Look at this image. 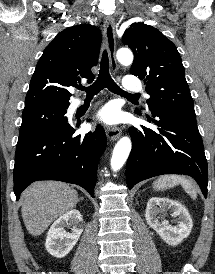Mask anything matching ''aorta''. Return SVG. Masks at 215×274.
Masks as SVG:
<instances>
[{
  "label": "aorta",
  "instance_id": "762f6f07",
  "mask_svg": "<svg viewBox=\"0 0 215 274\" xmlns=\"http://www.w3.org/2000/svg\"><path fill=\"white\" fill-rule=\"evenodd\" d=\"M117 60L123 65H130L133 61V54L127 48H121L116 54ZM131 151V140L128 137H122L114 147L111 168L118 171L126 162Z\"/></svg>",
  "mask_w": 215,
  "mask_h": 274
}]
</instances>
